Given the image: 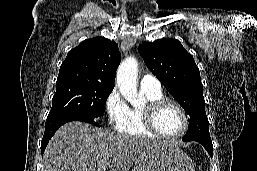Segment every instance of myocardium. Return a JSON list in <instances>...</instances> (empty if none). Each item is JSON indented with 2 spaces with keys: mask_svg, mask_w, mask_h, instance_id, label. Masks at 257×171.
I'll use <instances>...</instances> for the list:
<instances>
[{
  "mask_svg": "<svg viewBox=\"0 0 257 171\" xmlns=\"http://www.w3.org/2000/svg\"><path fill=\"white\" fill-rule=\"evenodd\" d=\"M166 105L174 106L182 115L183 128L178 134L166 135L160 132L156 126V123H155L156 114L162 107ZM143 120H144V126L148 132H150L152 135L158 138L167 139V140H174L182 137L187 132L189 127V119L185 109L175 100H172L166 97L145 103V105L143 106Z\"/></svg>",
  "mask_w": 257,
  "mask_h": 171,
  "instance_id": "1",
  "label": "myocardium"
}]
</instances>
